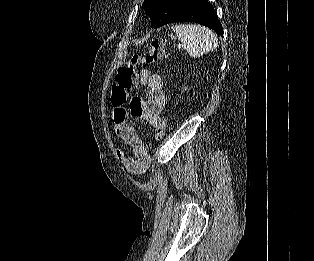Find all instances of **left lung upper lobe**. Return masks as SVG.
<instances>
[{
    "label": "left lung upper lobe",
    "mask_w": 314,
    "mask_h": 261,
    "mask_svg": "<svg viewBox=\"0 0 314 261\" xmlns=\"http://www.w3.org/2000/svg\"><path fill=\"white\" fill-rule=\"evenodd\" d=\"M184 0H144L142 7L151 19L152 28L167 24Z\"/></svg>",
    "instance_id": "obj_1"
}]
</instances>
